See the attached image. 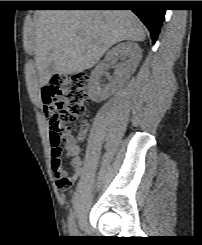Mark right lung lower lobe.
I'll use <instances>...</instances> for the list:
<instances>
[{"instance_id":"1","label":"right lung lower lobe","mask_w":202,"mask_h":245,"mask_svg":"<svg viewBox=\"0 0 202 245\" xmlns=\"http://www.w3.org/2000/svg\"><path fill=\"white\" fill-rule=\"evenodd\" d=\"M82 7H131V10L140 18L150 31L153 44L156 42L166 10L158 1H81Z\"/></svg>"}]
</instances>
